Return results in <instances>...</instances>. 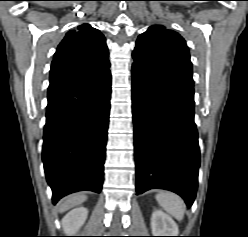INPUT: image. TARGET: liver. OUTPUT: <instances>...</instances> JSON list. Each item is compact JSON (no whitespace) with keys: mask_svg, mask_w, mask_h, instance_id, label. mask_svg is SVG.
<instances>
[{"mask_svg":"<svg viewBox=\"0 0 248 237\" xmlns=\"http://www.w3.org/2000/svg\"><path fill=\"white\" fill-rule=\"evenodd\" d=\"M87 199V196L83 193H77L68 196L63 200L59 206V212H64L71 209L74 206L80 205Z\"/></svg>","mask_w":248,"mask_h":237,"instance_id":"6515ba94","label":"liver"}]
</instances>
